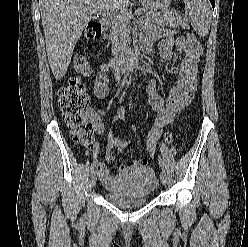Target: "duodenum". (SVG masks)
<instances>
[{"label":"duodenum","instance_id":"obj_1","mask_svg":"<svg viewBox=\"0 0 248 247\" xmlns=\"http://www.w3.org/2000/svg\"><path fill=\"white\" fill-rule=\"evenodd\" d=\"M94 28L100 33L106 29V23L103 20L94 21ZM140 62V55L137 52H128L114 60L113 68L117 72H128Z\"/></svg>","mask_w":248,"mask_h":247}]
</instances>
